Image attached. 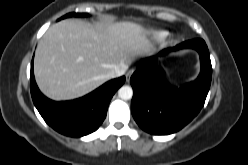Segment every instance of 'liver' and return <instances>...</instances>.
<instances>
[{
  "label": "liver",
  "instance_id": "obj_1",
  "mask_svg": "<svg viewBox=\"0 0 248 165\" xmlns=\"http://www.w3.org/2000/svg\"><path fill=\"white\" fill-rule=\"evenodd\" d=\"M147 30L136 23L94 27L80 20L53 24L37 45L34 74L40 90L60 101L82 97L108 81V73L150 55Z\"/></svg>",
  "mask_w": 248,
  "mask_h": 165
}]
</instances>
